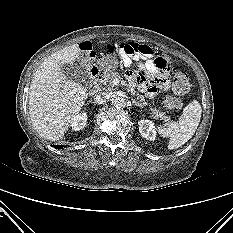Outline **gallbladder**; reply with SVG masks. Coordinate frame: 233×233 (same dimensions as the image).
<instances>
[{"mask_svg": "<svg viewBox=\"0 0 233 233\" xmlns=\"http://www.w3.org/2000/svg\"><path fill=\"white\" fill-rule=\"evenodd\" d=\"M61 72L71 81L83 84L89 83L87 70L78 64H63Z\"/></svg>", "mask_w": 233, "mask_h": 233, "instance_id": "1", "label": "gallbladder"}]
</instances>
